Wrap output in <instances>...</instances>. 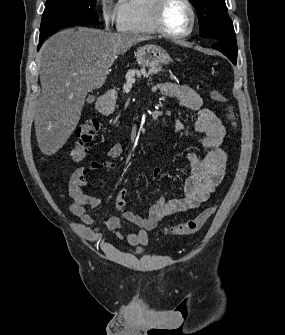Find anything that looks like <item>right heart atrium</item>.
Here are the masks:
<instances>
[{
  "label": "right heart atrium",
  "instance_id": "right-heart-atrium-1",
  "mask_svg": "<svg viewBox=\"0 0 285 335\" xmlns=\"http://www.w3.org/2000/svg\"><path fill=\"white\" fill-rule=\"evenodd\" d=\"M101 18L104 25L109 28L120 21V9L112 1H104L101 4Z\"/></svg>",
  "mask_w": 285,
  "mask_h": 335
}]
</instances>
